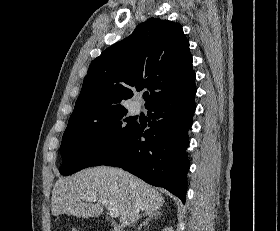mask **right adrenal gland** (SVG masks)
Listing matches in <instances>:
<instances>
[{
	"mask_svg": "<svg viewBox=\"0 0 280 231\" xmlns=\"http://www.w3.org/2000/svg\"><path fill=\"white\" fill-rule=\"evenodd\" d=\"M157 215H161V211H153V213H148L146 219H144L143 223H140L138 227V231H141L143 225H148L149 221H151L152 217H157Z\"/></svg>",
	"mask_w": 280,
	"mask_h": 231,
	"instance_id": "1",
	"label": "right adrenal gland"
}]
</instances>
